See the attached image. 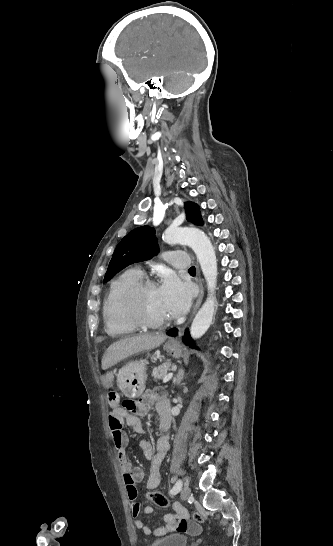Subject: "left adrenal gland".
<instances>
[{
  "label": "left adrenal gland",
  "instance_id": "left-adrenal-gland-1",
  "mask_svg": "<svg viewBox=\"0 0 333 546\" xmlns=\"http://www.w3.org/2000/svg\"><path fill=\"white\" fill-rule=\"evenodd\" d=\"M184 376H185L184 370L182 368L179 369L177 376L174 378V382L176 384H180Z\"/></svg>",
  "mask_w": 333,
  "mask_h": 546
}]
</instances>
